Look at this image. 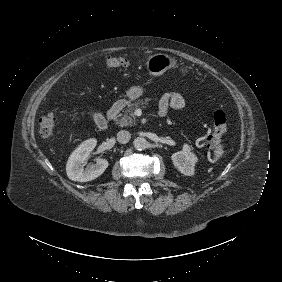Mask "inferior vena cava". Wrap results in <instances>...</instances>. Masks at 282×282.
<instances>
[{"label": "inferior vena cava", "mask_w": 282, "mask_h": 282, "mask_svg": "<svg viewBox=\"0 0 282 282\" xmlns=\"http://www.w3.org/2000/svg\"><path fill=\"white\" fill-rule=\"evenodd\" d=\"M131 134L127 130H120L117 133V141L122 144H126L130 141Z\"/></svg>", "instance_id": "602c4592"}]
</instances>
